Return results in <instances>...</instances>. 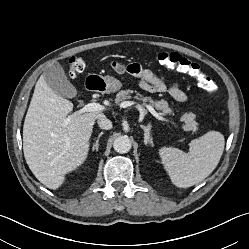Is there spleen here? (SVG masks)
<instances>
[{"mask_svg":"<svg viewBox=\"0 0 249 249\" xmlns=\"http://www.w3.org/2000/svg\"><path fill=\"white\" fill-rule=\"evenodd\" d=\"M189 145L188 153L172 147L159 150L173 184L180 188L198 184L212 173L222 156L225 139L220 132L209 131Z\"/></svg>","mask_w":249,"mask_h":249,"instance_id":"3e777b00","label":"spleen"}]
</instances>
